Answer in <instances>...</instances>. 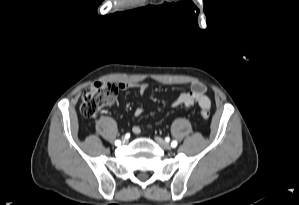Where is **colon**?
Wrapping results in <instances>:
<instances>
[{
	"instance_id": "obj_1",
	"label": "colon",
	"mask_w": 299,
	"mask_h": 205,
	"mask_svg": "<svg viewBox=\"0 0 299 205\" xmlns=\"http://www.w3.org/2000/svg\"><path fill=\"white\" fill-rule=\"evenodd\" d=\"M118 91L119 87L114 83H93L83 94L81 113L85 117L95 116L100 110L115 101ZM201 116L204 119H209L210 113L208 110L202 109Z\"/></svg>"
}]
</instances>
